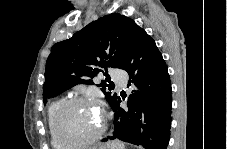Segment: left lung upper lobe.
I'll return each mask as SVG.
<instances>
[{"instance_id":"1","label":"left lung upper lobe","mask_w":227,"mask_h":149,"mask_svg":"<svg viewBox=\"0 0 227 149\" xmlns=\"http://www.w3.org/2000/svg\"><path fill=\"white\" fill-rule=\"evenodd\" d=\"M137 27L132 19L113 13L54 44L46 62L44 103L77 84H94L92 78L101 71L99 67L123 69ZM104 75L109 82L107 70ZM106 81L97 86L111 106L118 95L106 91V87L111 90Z\"/></svg>"}]
</instances>
